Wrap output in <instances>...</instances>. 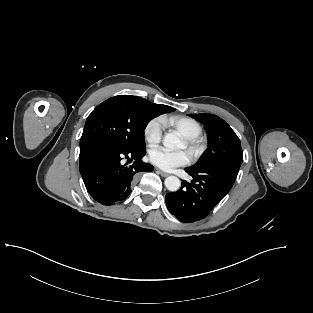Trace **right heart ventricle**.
<instances>
[{
    "instance_id": "obj_1",
    "label": "right heart ventricle",
    "mask_w": 313,
    "mask_h": 313,
    "mask_svg": "<svg viewBox=\"0 0 313 313\" xmlns=\"http://www.w3.org/2000/svg\"><path fill=\"white\" fill-rule=\"evenodd\" d=\"M169 127L178 131L184 138L199 137L203 131L201 124L187 116L174 115L163 119Z\"/></svg>"
}]
</instances>
